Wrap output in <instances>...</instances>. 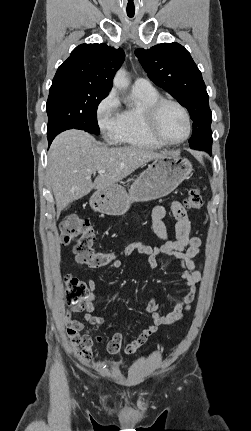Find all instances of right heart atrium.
Segmentation results:
<instances>
[{
	"label": "right heart atrium",
	"instance_id": "right-heart-atrium-1",
	"mask_svg": "<svg viewBox=\"0 0 251 431\" xmlns=\"http://www.w3.org/2000/svg\"><path fill=\"white\" fill-rule=\"evenodd\" d=\"M96 121L102 134L107 138H114L122 119V111L117 94L111 90L96 106Z\"/></svg>",
	"mask_w": 251,
	"mask_h": 431
}]
</instances>
